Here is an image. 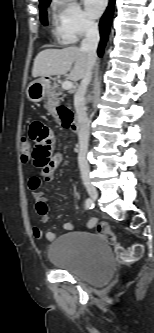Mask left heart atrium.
Instances as JSON below:
<instances>
[{"label": "left heart atrium", "instance_id": "1", "mask_svg": "<svg viewBox=\"0 0 154 333\" xmlns=\"http://www.w3.org/2000/svg\"><path fill=\"white\" fill-rule=\"evenodd\" d=\"M107 0H84L88 15L92 18L98 17L103 11Z\"/></svg>", "mask_w": 154, "mask_h": 333}]
</instances>
